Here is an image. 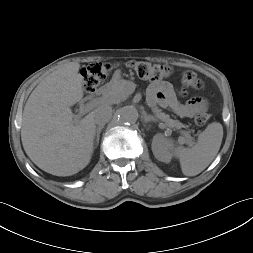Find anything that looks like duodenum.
Returning <instances> with one entry per match:
<instances>
[{"mask_svg":"<svg viewBox=\"0 0 253 253\" xmlns=\"http://www.w3.org/2000/svg\"><path fill=\"white\" fill-rule=\"evenodd\" d=\"M102 91H103L102 89H101V90H99V94H101V93H102Z\"/></svg>","mask_w":253,"mask_h":253,"instance_id":"410a0bca","label":"duodenum"}]
</instances>
